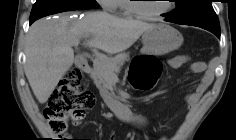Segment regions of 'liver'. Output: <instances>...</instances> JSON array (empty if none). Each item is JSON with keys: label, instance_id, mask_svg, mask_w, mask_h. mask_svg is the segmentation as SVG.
<instances>
[{"label": "liver", "instance_id": "liver-1", "mask_svg": "<svg viewBox=\"0 0 236 140\" xmlns=\"http://www.w3.org/2000/svg\"><path fill=\"white\" fill-rule=\"evenodd\" d=\"M139 20L123 19L106 12H91L73 23L68 15L39 19L27 34L24 67L31 89L43 104L74 62L72 46L82 37H91L87 46L116 54L130 48L141 35L153 28Z\"/></svg>", "mask_w": 236, "mask_h": 140}]
</instances>
